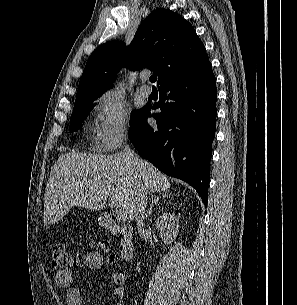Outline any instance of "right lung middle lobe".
<instances>
[{
    "instance_id": "dd1d6c3e",
    "label": "right lung middle lobe",
    "mask_w": 297,
    "mask_h": 305,
    "mask_svg": "<svg viewBox=\"0 0 297 305\" xmlns=\"http://www.w3.org/2000/svg\"><path fill=\"white\" fill-rule=\"evenodd\" d=\"M99 96L89 97L79 101H76L74 104L73 114L70 118V132H75L82 128V122L89 114V110L94 106L91 105L94 100ZM144 107L140 110H134L131 115L130 124L133 125L136 120L140 117L143 112Z\"/></svg>"
}]
</instances>
